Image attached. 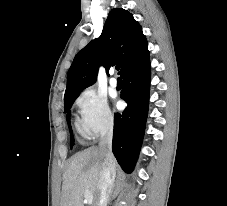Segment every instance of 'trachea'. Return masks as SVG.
<instances>
[{
  "label": "trachea",
  "mask_w": 227,
  "mask_h": 206,
  "mask_svg": "<svg viewBox=\"0 0 227 206\" xmlns=\"http://www.w3.org/2000/svg\"><path fill=\"white\" fill-rule=\"evenodd\" d=\"M115 68H116V70H119V69H120V66L118 65V66H116Z\"/></svg>",
  "instance_id": "1"
}]
</instances>
